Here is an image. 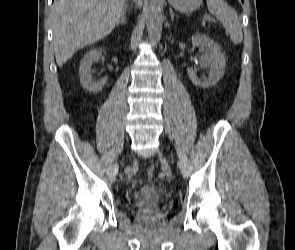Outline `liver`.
<instances>
[{
    "label": "liver",
    "instance_id": "obj_1",
    "mask_svg": "<svg viewBox=\"0 0 295 250\" xmlns=\"http://www.w3.org/2000/svg\"><path fill=\"white\" fill-rule=\"evenodd\" d=\"M138 6L141 0H137ZM125 0H55L53 43L62 67L79 49L109 35L120 21Z\"/></svg>",
    "mask_w": 295,
    "mask_h": 250
}]
</instances>
